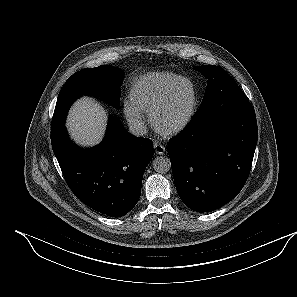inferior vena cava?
Masks as SVG:
<instances>
[{
  "label": "inferior vena cava",
  "mask_w": 297,
  "mask_h": 297,
  "mask_svg": "<svg viewBox=\"0 0 297 297\" xmlns=\"http://www.w3.org/2000/svg\"><path fill=\"white\" fill-rule=\"evenodd\" d=\"M129 131L134 136H143L147 133V128L142 121L134 120L129 123Z\"/></svg>",
  "instance_id": "inferior-vena-cava-1"
}]
</instances>
